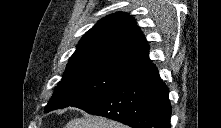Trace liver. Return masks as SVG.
<instances>
[{"instance_id":"liver-1","label":"liver","mask_w":221,"mask_h":128,"mask_svg":"<svg viewBox=\"0 0 221 128\" xmlns=\"http://www.w3.org/2000/svg\"><path fill=\"white\" fill-rule=\"evenodd\" d=\"M65 128H127L125 125L97 116L74 118L68 122Z\"/></svg>"}]
</instances>
